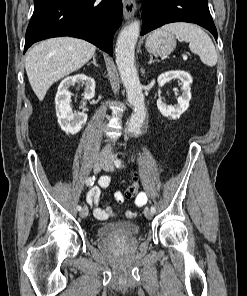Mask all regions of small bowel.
I'll return each instance as SVG.
<instances>
[{
	"mask_svg": "<svg viewBox=\"0 0 247 296\" xmlns=\"http://www.w3.org/2000/svg\"><path fill=\"white\" fill-rule=\"evenodd\" d=\"M111 178L109 176H104L99 181V186L92 187L86 195V201L90 206L93 215L99 220H108L111 216L114 215V211L111 207L102 209L99 207V199L101 194V189H105L110 185ZM114 198L118 203H123L125 200L124 194L121 191H116ZM148 198L145 193H139L135 199L136 206H142L147 202ZM127 217L132 218L135 216V213L128 211L126 213Z\"/></svg>",
	"mask_w": 247,
	"mask_h": 296,
	"instance_id": "obj_1",
	"label": "small bowel"
}]
</instances>
